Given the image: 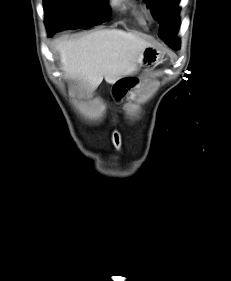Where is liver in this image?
Segmentation results:
<instances>
[{
	"mask_svg": "<svg viewBox=\"0 0 231 281\" xmlns=\"http://www.w3.org/2000/svg\"><path fill=\"white\" fill-rule=\"evenodd\" d=\"M147 47L150 44L144 39L118 29L55 41L66 75L82 80L90 91H94L103 79L113 84L134 74Z\"/></svg>",
	"mask_w": 231,
	"mask_h": 281,
	"instance_id": "6515ba94",
	"label": "liver"
}]
</instances>
